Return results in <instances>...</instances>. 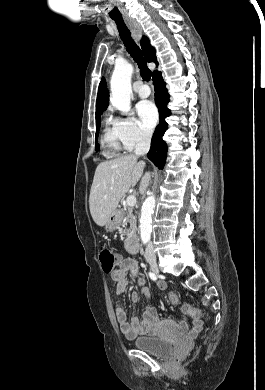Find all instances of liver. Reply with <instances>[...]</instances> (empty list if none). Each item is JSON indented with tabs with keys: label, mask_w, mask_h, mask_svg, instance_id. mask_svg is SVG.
Here are the masks:
<instances>
[{
	"label": "liver",
	"mask_w": 265,
	"mask_h": 390,
	"mask_svg": "<svg viewBox=\"0 0 265 390\" xmlns=\"http://www.w3.org/2000/svg\"><path fill=\"white\" fill-rule=\"evenodd\" d=\"M144 168L145 162H138V156L133 154L101 162L97 166L89 196V208L98 226L106 225L120 199L140 180Z\"/></svg>",
	"instance_id": "6515ba94"
}]
</instances>
